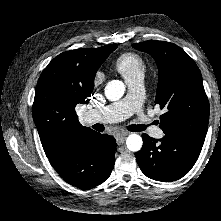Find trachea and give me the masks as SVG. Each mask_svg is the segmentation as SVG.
Here are the masks:
<instances>
[{
	"label": "trachea",
	"mask_w": 221,
	"mask_h": 221,
	"mask_svg": "<svg viewBox=\"0 0 221 221\" xmlns=\"http://www.w3.org/2000/svg\"><path fill=\"white\" fill-rule=\"evenodd\" d=\"M137 131H142L139 127L135 126Z\"/></svg>",
	"instance_id": "obj_1"
}]
</instances>
